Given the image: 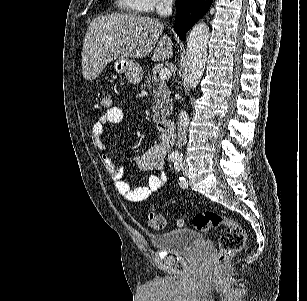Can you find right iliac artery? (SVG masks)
<instances>
[{
	"mask_svg": "<svg viewBox=\"0 0 307 301\" xmlns=\"http://www.w3.org/2000/svg\"><path fill=\"white\" fill-rule=\"evenodd\" d=\"M168 159H169V161H176V160H178V156H177V154L172 153V154L169 155Z\"/></svg>",
	"mask_w": 307,
	"mask_h": 301,
	"instance_id": "1",
	"label": "right iliac artery"
}]
</instances>
